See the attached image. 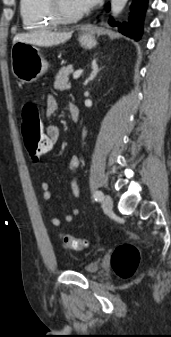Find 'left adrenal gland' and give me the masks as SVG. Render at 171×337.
Returning <instances> with one entry per match:
<instances>
[{
	"mask_svg": "<svg viewBox=\"0 0 171 337\" xmlns=\"http://www.w3.org/2000/svg\"><path fill=\"white\" fill-rule=\"evenodd\" d=\"M92 69L93 70L90 74V77L84 82V85H87L90 81H92L97 76V73L101 70L98 68L96 61L92 63Z\"/></svg>",
	"mask_w": 171,
	"mask_h": 337,
	"instance_id": "left-adrenal-gland-1",
	"label": "left adrenal gland"
}]
</instances>
